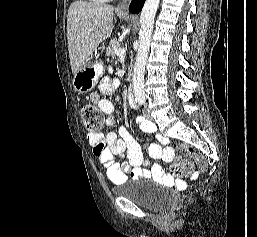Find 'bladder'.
I'll return each mask as SVG.
<instances>
[{
  "mask_svg": "<svg viewBox=\"0 0 257 237\" xmlns=\"http://www.w3.org/2000/svg\"><path fill=\"white\" fill-rule=\"evenodd\" d=\"M147 182L144 180L124 181L114 187V192L148 210L159 209L166 205L170 200L169 193L165 190H152L141 186L142 183Z\"/></svg>",
  "mask_w": 257,
  "mask_h": 237,
  "instance_id": "31cf9c89",
  "label": "bladder"
}]
</instances>
